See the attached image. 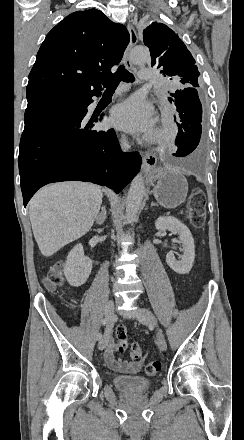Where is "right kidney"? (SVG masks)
<instances>
[{"mask_svg": "<svg viewBox=\"0 0 244 440\" xmlns=\"http://www.w3.org/2000/svg\"><path fill=\"white\" fill-rule=\"evenodd\" d=\"M92 270V262L88 256H84L82 244L74 246L69 252L64 268L66 280L70 286L79 288L87 282Z\"/></svg>", "mask_w": 244, "mask_h": 440, "instance_id": "ca27d5eb", "label": "right kidney"}]
</instances>
